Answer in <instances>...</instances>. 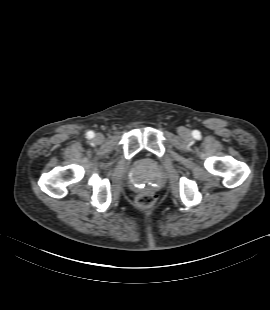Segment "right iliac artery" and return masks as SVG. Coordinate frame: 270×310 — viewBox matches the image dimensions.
<instances>
[{"mask_svg": "<svg viewBox=\"0 0 270 310\" xmlns=\"http://www.w3.org/2000/svg\"><path fill=\"white\" fill-rule=\"evenodd\" d=\"M87 137H88V138H93V137H94V133H93L92 131H89V132L87 133Z\"/></svg>", "mask_w": 270, "mask_h": 310, "instance_id": "right-iliac-artery-1", "label": "right iliac artery"}]
</instances>
